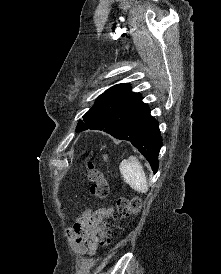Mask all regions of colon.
Here are the masks:
<instances>
[{
    "label": "colon",
    "instance_id": "obj_1",
    "mask_svg": "<svg viewBox=\"0 0 221 274\" xmlns=\"http://www.w3.org/2000/svg\"><path fill=\"white\" fill-rule=\"evenodd\" d=\"M87 176L91 183L90 192L98 198H105L108 195L109 187L103 173L94 167L91 162L87 164ZM141 207V201L138 197L119 198L115 205V212L110 215L111 218L129 217L138 213ZM115 233L108 224H104L99 233V244L108 246L112 243Z\"/></svg>",
    "mask_w": 221,
    "mask_h": 274
}]
</instances>
